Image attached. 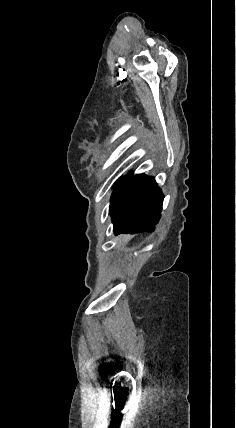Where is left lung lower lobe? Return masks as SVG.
I'll use <instances>...</instances> for the list:
<instances>
[{"label":"left lung lower lobe","instance_id":"0a47b994","mask_svg":"<svg viewBox=\"0 0 236 428\" xmlns=\"http://www.w3.org/2000/svg\"><path fill=\"white\" fill-rule=\"evenodd\" d=\"M163 199L153 177L129 172L115 186L110 200L115 235L153 230L161 217Z\"/></svg>","mask_w":236,"mask_h":428}]
</instances>
